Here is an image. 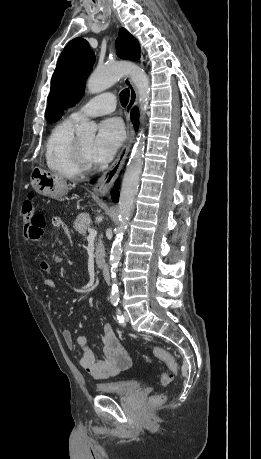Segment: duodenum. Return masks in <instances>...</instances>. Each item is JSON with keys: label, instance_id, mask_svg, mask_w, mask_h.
Instances as JSON below:
<instances>
[{"label": "duodenum", "instance_id": "obj_1", "mask_svg": "<svg viewBox=\"0 0 261 459\" xmlns=\"http://www.w3.org/2000/svg\"><path fill=\"white\" fill-rule=\"evenodd\" d=\"M100 269L102 270V273L104 275V278L106 279V281H110V272H109V267L106 263H100L99 265Z\"/></svg>", "mask_w": 261, "mask_h": 459}]
</instances>
